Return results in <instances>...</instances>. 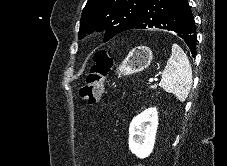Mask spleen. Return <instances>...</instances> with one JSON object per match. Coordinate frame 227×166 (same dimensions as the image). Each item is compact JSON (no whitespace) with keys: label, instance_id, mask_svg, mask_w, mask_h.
Wrapping results in <instances>:
<instances>
[{"label":"spleen","instance_id":"3e777b00","mask_svg":"<svg viewBox=\"0 0 227 166\" xmlns=\"http://www.w3.org/2000/svg\"><path fill=\"white\" fill-rule=\"evenodd\" d=\"M192 85V69L188 57L177 45H172V54L162 72L161 87L184 102Z\"/></svg>","mask_w":227,"mask_h":166}]
</instances>
